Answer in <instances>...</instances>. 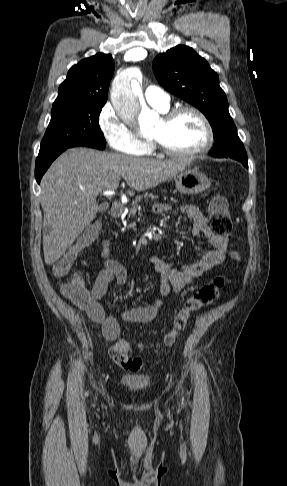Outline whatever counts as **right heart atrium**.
I'll return each mask as SVG.
<instances>
[{
	"mask_svg": "<svg viewBox=\"0 0 287 486\" xmlns=\"http://www.w3.org/2000/svg\"><path fill=\"white\" fill-rule=\"evenodd\" d=\"M98 126L104 139L114 151L137 155L145 148L146 142L121 119L109 102L99 112Z\"/></svg>",
	"mask_w": 287,
	"mask_h": 486,
	"instance_id": "right-heart-atrium-1",
	"label": "right heart atrium"
}]
</instances>
